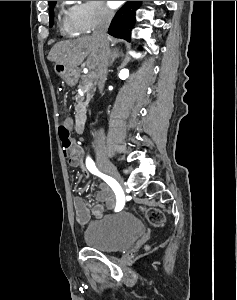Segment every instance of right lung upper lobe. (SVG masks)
Returning a JSON list of instances; mask_svg holds the SVG:
<instances>
[{
    "label": "right lung upper lobe",
    "mask_w": 237,
    "mask_h": 300,
    "mask_svg": "<svg viewBox=\"0 0 237 300\" xmlns=\"http://www.w3.org/2000/svg\"><path fill=\"white\" fill-rule=\"evenodd\" d=\"M53 1H48V3L50 4V3H52Z\"/></svg>",
    "instance_id": "obj_1"
}]
</instances>
